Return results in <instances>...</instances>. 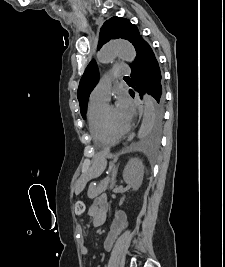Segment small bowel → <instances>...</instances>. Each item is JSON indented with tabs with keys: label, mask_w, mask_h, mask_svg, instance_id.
Wrapping results in <instances>:
<instances>
[{
	"label": "small bowel",
	"mask_w": 225,
	"mask_h": 267,
	"mask_svg": "<svg viewBox=\"0 0 225 267\" xmlns=\"http://www.w3.org/2000/svg\"><path fill=\"white\" fill-rule=\"evenodd\" d=\"M108 210V205L106 202V199L101 197L98 200L95 201L94 204H92L89 208V215L92 216L95 220V218L100 214L105 213ZM126 226V217L123 213L117 212L114 218V221L111 225L110 231L105 239L104 245L107 250H111L114 242L119 235V233L123 230V228ZM82 255H86L88 253V248L86 245H83L80 250ZM99 267V266H98Z\"/></svg>",
	"instance_id": "small-bowel-1"
}]
</instances>
